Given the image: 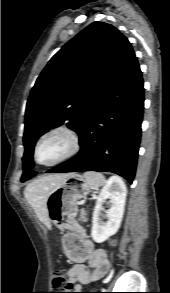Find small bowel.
<instances>
[{
    "instance_id": "small-bowel-1",
    "label": "small bowel",
    "mask_w": 170,
    "mask_h": 293,
    "mask_svg": "<svg viewBox=\"0 0 170 293\" xmlns=\"http://www.w3.org/2000/svg\"><path fill=\"white\" fill-rule=\"evenodd\" d=\"M64 245L67 257L76 262L67 273V280L75 289L100 280L110 270L106 253L101 249H94L93 243L80 233L67 232L64 235ZM85 261L87 265L84 264Z\"/></svg>"
}]
</instances>
